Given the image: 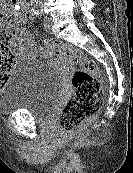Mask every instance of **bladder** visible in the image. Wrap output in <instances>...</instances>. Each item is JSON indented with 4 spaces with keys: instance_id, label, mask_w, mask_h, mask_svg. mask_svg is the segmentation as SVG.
<instances>
[{
    "instance_id": "1",
    "label": "bladder",
    "mask_w": 133,
    "mask_h": 173,
    "mask_svg": "<svg viewBox=\"0 0 133 173\" xmlns=\"http://www.w3.org/2000/svg\"><path fill=\"white\" fill-rule=\"evenodd\" d=\"M64 91L60 72L38 59L20 61L0 89V113H29L38 122L52 119Z\"/></svg>"
}]
</instances>
